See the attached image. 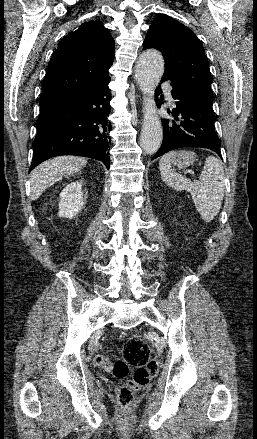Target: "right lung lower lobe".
I'll return each instance as SVG.
<instances>
[{
	"label": "right lung lower lobe",
	"mask_w": 257,
	"mask_h": 439,
	"mask_svg": "<svg viewBox=\"0 0 257 439\" xmlns=\"http://www.w3.org/2000/svg\"><path fill=\"white\" fill-rule=\"evenodd\" d=\"M108 77L89 88L41 103L29 172L59 155H78L102 161L109 169L111 94Z\"/></svg>",
	"instance_id": "obj_1"
}]
</instances>
